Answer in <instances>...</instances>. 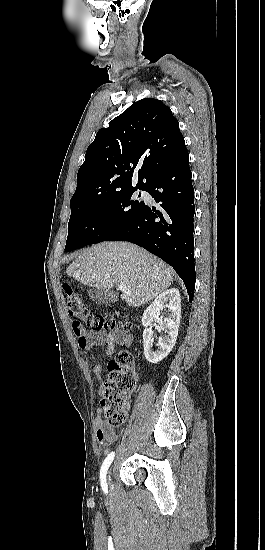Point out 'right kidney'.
Listing matches in <instances>:
<instances>
[{
	"label": "right kidney",
	"mask_w": 265,
	"mask_h": 550,
	"mask_svg": "<svg viewBox=\"0 0 265 550\" xmlns=\"http://www.w3.org/2000/svg\"><path fill=\"white\" fill-rule=\"evenodd\" d=\"M168 308L170 316L162 320L160 316L164 307ZM181 317V298L178 289L172 288L159 294L142 316L144 355L149 363L157 364L171 352L175 345ZM156 320L159 330L168 331L164 337H159L157 349L153 348L154 338L152 322Z\"/></svg>",
	"instance_id": "right-kidney-1"
}]
</instances>
